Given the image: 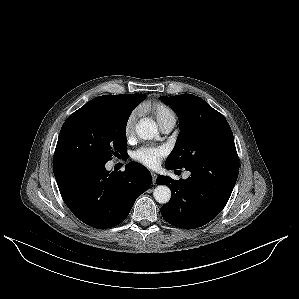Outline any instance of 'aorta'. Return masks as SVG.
Masks as SVG:
<instances>
[{
  "label": "aorta",
  "mask_w": 299,
  "mask_h": 299,
  "mask_svg": "<svg viewBox=\"0 0 299 299\" xmlns=\"http://www.w3.org/2000/svg\"><path fill=\"white\" fill-rule=\"evenodd\" d=\"M135 131L138 137L144 140H151L158 136L156 125L147 119L140 120ZM153 196L158 203L166 204L171 199V190L168 186L159 185L155 188Z\"/></svg>",
  "instance_id": "obj_1"
}]
</instances>
